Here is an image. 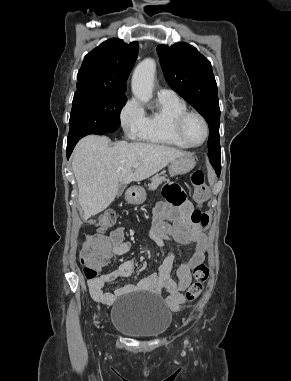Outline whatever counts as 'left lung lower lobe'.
<instances>
[{
    "label": "left lung lower lobe",
    "mask_w": 291,
    "mask_h": 381,
    "mask_svg": "<svg viewBox=\"0 0 291 381\" xmlns=\"http://www.w3.org/2000/svg\"><path fill=\"white\" fill-rule=\"evenodd\" d=\"M210 163L212 164V166L214 167L217 175L219 176L220 175V171H221V164H220V160H210Z\"/></svg>",
    "instance_id": "left-lung-lower-lobe-1"
}]
</instances>
